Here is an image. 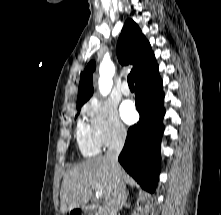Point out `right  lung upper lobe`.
<instances>
[{"label":"right lung upper lobe","instance_id":"obj_1","mask_svg":"<svg viewBox=\"0 0 221 215\" xmlns=\"http://www.w3.org/2000/svg\"><path fill=\"white\" fill-rule=\"evenodd\" d=\"M117 57L122 65L133 64L131 74L135 82L147 78L158 70L150 43L138 25L127 19L117 43ZM95 62L90 61L80 78L77 105L87 102L93 94L92 78Z\"/></svg>","mask_w":221,"mask_h":215}]
</instances>
